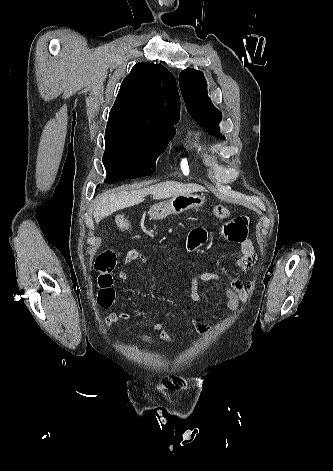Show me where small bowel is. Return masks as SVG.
<instances>
[{
  "mask_svg": "<svg viewBox=\"0 0 333 471\" xmlns=\"http://www.w3.org/2000/svg\"><path fill=\"white\" fill-rule=\"evenodd\" d=\"M248 223L249 217L246 215L236 216L229 219L222 226L223 236L236 243L239 246V257L235 263L238 271L245 272L252 268L256 261L257 255L253 246L252 241L248 238ZM207 241V231L202 227L194 228L188 237V248L190 250L197 249ZM138 261L142 264L147 262V258L138 250H129L124 257V264L130 265L131 263ZM120 280L125 281L127 279V272L120 271L118 273ZM228 281L225 288V306L233 309L239 304H246L249 300L250 292L253 288L251 281H243L239 277L227 278L220 272L204 271L199 273L192 279L191 296L195 300L197 299L196 284L197 282H221ZM127 312H112L105 319V326L110 327L112 325H122L129 319ZM146 324L153 330L159 332L161 340L166 342L174 341V337L168 331V329L161 323L146 321ZM193 329L199 334H207L210 332L211 327L203 322L196 320L192 321Z\"/></svg>",
  "mask_w": 333,
  "mask_h": 471,
  "instance_id": "small-bowel-1",
  "label": "small bowel"
}]
</instances>
